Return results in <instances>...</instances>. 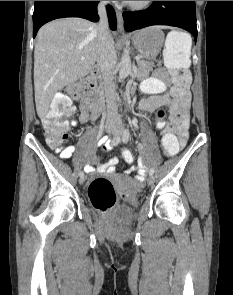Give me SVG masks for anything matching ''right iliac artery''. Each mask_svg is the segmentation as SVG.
<instances>
[{
    "mask_svg": "<svg viewBox=\"0 0 233 295\" xmlns=\"http://www.w3.org/2000/svg\"><path fill=\"white\" fill-rule=\"evenodd\" d=\"M119 142H120V137L119 136L114 137L111 142V147L116 146ZM79 176L80 177L84 176L83 171H80Z\"/></svg>",
    "mask_w": 233,
    "mask_h": 295,
    "instance_id": "obj_1",
    "label": "right iliac artery"
}]
</instances>
